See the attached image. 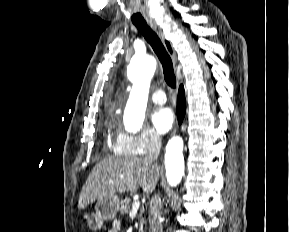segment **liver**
Returning <instances> with one entry per match:
<instances>
[{"label":"liver","mask_w":289,"mask_h":232,"mask_svg":"<svg viewBox=\"0 0 289 232\" xmlns=\"http://www.w3.org/2000/svg\"><path fill=\"white\" fill-rule=\"evenodd\" d=\"M159 170L157 165L135 156L103 159L90 172L80 193L78 208L83 209L116 193L134 192L138 187L145 193H151L159 180Z\"/></svg>","instance_id":"1"}]
</instances>
